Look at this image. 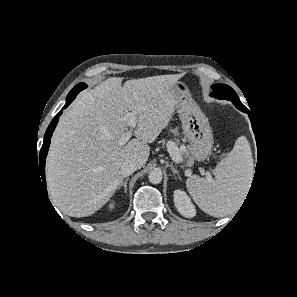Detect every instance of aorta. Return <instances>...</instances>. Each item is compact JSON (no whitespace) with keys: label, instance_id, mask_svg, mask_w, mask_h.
<instances>
[{"label":"aorta","instance_id":"aorta-1","mask_svg":"<svg viewBox=\"0 0 297 297\" xmlns=\"http://www.w3.org/2000/svg\"><path fill=\"white\" fill-rule=\"evenodd\" d=\"M163 175L160 169L151 171L148 175L149 182L152 184H159L162 181Z\"/></svg>","mask_w":297,"mask_h":297}]
</instances>
